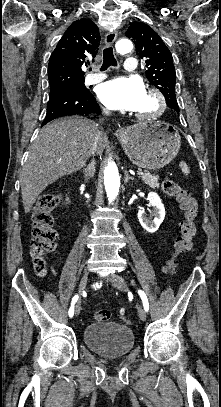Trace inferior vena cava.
Listing matches in <instances>:
<instances>
[{"label": "inferior vena cava", "instance_id": "1", "mask_svg": "<svg viewBox=\"0 0 221 407\" xmlns=\"http://www.w3.org/2000/svg\"><path fill=\"white\" fill-rule=\"evenodd\" d=\"M104 114L109 115V111L104 110ZM101 134L102 133L100 131H98L97 136L95 138V142H94L93 149H92V155L93 156L95 155V153L99 152V141H100Z\"/></svg>", "mask_w": 221, "mask_h": 407}]
</instances>
